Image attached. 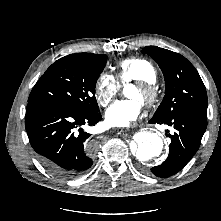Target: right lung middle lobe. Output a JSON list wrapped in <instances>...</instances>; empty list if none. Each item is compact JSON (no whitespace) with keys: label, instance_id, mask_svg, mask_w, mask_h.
<instances>
[{"label":"right lung middle lobe","instance_id":"obj_1","mask_svg":"<svg viewBox=\"0 0 221 221\" xmlns=\"http://www.w3.org/2000/svg\"><path fill=\"white\" fill-rule=\"evenodd\" d=\"M105 54H71L54 62L33 87L28 102L40 101L80 114H96L95 85Z\"/></svg>","mask_w":221,"mask_h":221}]
</instances>
